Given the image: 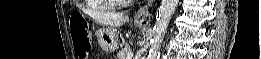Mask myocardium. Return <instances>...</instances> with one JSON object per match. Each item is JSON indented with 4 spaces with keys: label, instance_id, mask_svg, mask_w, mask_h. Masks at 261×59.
<instances>
[{
    "label": "myocardium",
    "instance_id": "1",
    "mask_svg": "<svg viewBox=\"0 0 261 59\" xmlns=\"http://www.w3.org/2000/svg\"><path fill=\"white\" fill-rule=\"evenodd\" d=\"M117 4H122L125 3V1H121V0H115Z\"/></svg>",
    "mask_w": 261,
    "mask_h": 59
}]
</instances>
